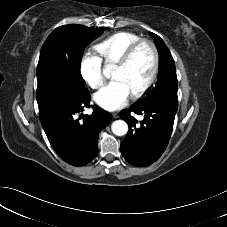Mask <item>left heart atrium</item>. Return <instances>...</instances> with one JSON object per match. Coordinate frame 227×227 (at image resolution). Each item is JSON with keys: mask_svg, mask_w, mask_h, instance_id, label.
<instances>
[{"mask_svg": "<svg viewBox=\"0 0 227 227\" xmlns=\"http://www.w3.org/2000/svg\"><path fill=\"white\" fill-rule=\"evenodd\" d=\"M130 92L123 82L113 79L94 95L95 102L108 111H114L125 106Z\"/></svg>", "mask_w": 227, "mask_h": 227, "instance_id": "1", "label": "left heart atrium"}]
</instances>
